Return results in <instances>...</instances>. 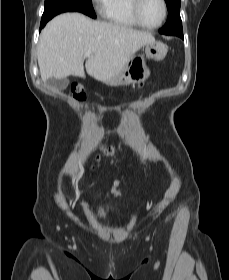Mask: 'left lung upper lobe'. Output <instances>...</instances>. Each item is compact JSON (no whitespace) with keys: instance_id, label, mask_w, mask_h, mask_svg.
<instances>
[{"instance_id":"obj_1","label":"left lung upper lobe","mask_w":229,"mask_h":280,"mask_svg":"<svg viewBox=\"0 0 229 280\" xmlns=\"http://www.w3.org/2000/svg\"><path fill=\"white\" fill-rule=\"evenodd\" d=\"M168 8V18L166 24L159 30L166 35H176L183 33L180 18L181 0H165Z\"/></svg>"}]
</instances>
